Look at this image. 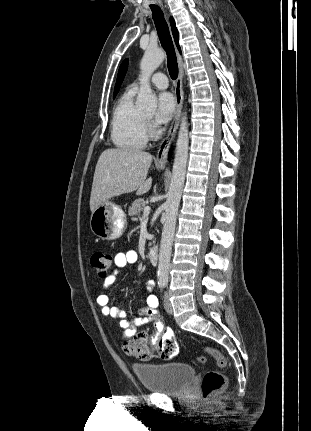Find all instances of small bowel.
I'll return each mask as SVG.
<instances>
[{"label":"small bowel","instance_id":"c3829d8e","mask_svg":"<svg viewBox=\"0 0 311 431\" xmlns=\"http://www.w3.org/2000/svg\"><path fill=\"white\" fill-rule=\"evenodd\" d=\"M137 261L138 253L134 250L119 252L115 255V268L106 277L104 284L97 295V304L100 306L103 315L118 319L119 325L123 329L124 337L133 336L135 334L136 327L142 326L149 322H153L155 328V334L150 337L151 340H158L161 334H163V337H174V334L170 329H165L163 321L158 312L159 301L157 296L154 294V281L149 280L146 283V291L148 293L146 298V306L138 310V316L129 318V313L127 311L110 305V298L108 294L109 287L116 281L122 268L135 264ZM141 334L148 337L146 333Z\"/></svg>","mask_w":311,"mask_h":431}]
</instances>
